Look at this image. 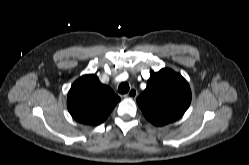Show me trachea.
Instances as JSON below:
<instances>
[{
    "label": "trachea",
    "mask_w": 249,
    "mask_h": 165,
    "mask_svg": "<svg viewBox=\"0 0 249 165\" xmlns=\"http://www.w3.org/2000/svg\"><path fill=\"white\" fill-rule=\"evenodd\" d=\"M129 91V84L127 82H123L118 87V92L120 94H126Z\"/></svg>",
    "instance_id": "1"
}]
</instances>
